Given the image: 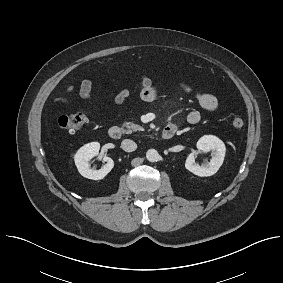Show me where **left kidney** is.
<instances>
[{"mask_svg": "<svg viewBox=\"0 0 283 283\" xmlns=\"http://www.w3.org/2000/svg\"><path fill=\"white\" fill-rule=\"evenodd\" d=\"M196 147L199 151L205 153L212 152L210 162L205 163L203 166L198 165L192 152L186 159L185 168L200 177L214 175L223 164L226 152L225 144L216 136L204 135L198 140Z\"/></svg>", "mask_w": 283, "mask_h": 283, "instance_id": "1", "label": "left kidney"}]
</instances>
